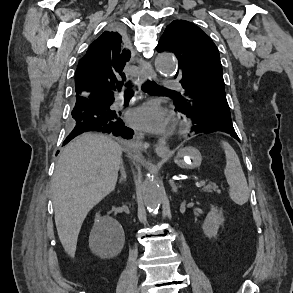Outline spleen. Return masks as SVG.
I'll list each match as a JSON object with an SVG mask.
<instances>
[{"mask_svg":"<svg viewBox=\"0 0 293 293\" xmlns=\"http://www.w3.org/2000/svg\"><path fill=\"white\" fill-rule=\"evenodd\" d=\"M221 144L226 157L224 174L229 184L230 198L236 204L243 205L248 201L250 193L240 160L228 142L222 141Z\"/></svg>","mask_w":293,"mask_h":293,"instance_id":"obj_1","label":"spleen"}]
</instances>
